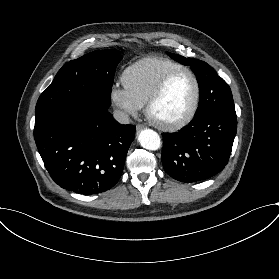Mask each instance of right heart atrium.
<instances>
[{
	"instance_id": "right-heart-atrium-1",
	"label": "right heart atrium",
	"mask_w": 279,
	"mask_h": 279,
	"mask_svg": "<svg viewBox=\"0 0 279 279\" xmlns=\"http://www.w3.org/2000/svg\"><path fill=\"white\" fill-rule=\"evenodd\" d=\"M111 102L127 116H136L146 102L126 84H114L109 92Z\"/></svg>"
}]
</instances>
